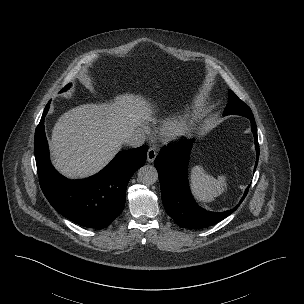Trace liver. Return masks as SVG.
<instances>
[{
	"instance_id": "obj_1",
	"label": "liver",
	"mask_w": 304,
	"mask_h": 304,
	"mask_svg": "<svg viewBox=\"0 0 304 304\" xmlns=\"http://www.w3.org/2000/svg\"><path fill=\"white\" fill-rule=\"evenodd\" d=\"M139 95L119 94L108 103L83 104L60 116L50 148L55 168L68 178L101 170L121 149L127 135L153 120Z\"/></svg>"
}]
</instances>
